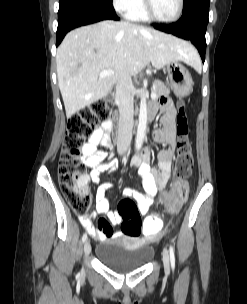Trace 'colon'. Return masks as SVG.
<instances>
[{"label":"colon","mask_w":247,"mask_h":304,"mask_svg":"<svg viewBox=\"0 0 247 304\" xmlns=\"http://www.w3.org/2000/svg\"><path fill=\"white\" fill-rule=\"evenodd\" d=\"M111 100H100L89 108L74 113L67 123V133L59 157L58 179L60 188L75 213L84 216L90 207L85 165L80 157L83 142L92 128L110 114ZM177 115V155L175 162V183L172 190L162 193L161 201L168 211L175 212L184 202L188 184L186 179L191 174L194 158L188 137L187 116L182 101H179ZM118 215L122 220L123 234L136 237L142 233L143 238H152L158 234L163 224L159 217L151 215L141 223L137 205L129 198L118 204Z\"/></svg>","instance_id":"1"}]
</instances>
